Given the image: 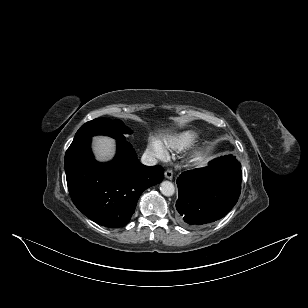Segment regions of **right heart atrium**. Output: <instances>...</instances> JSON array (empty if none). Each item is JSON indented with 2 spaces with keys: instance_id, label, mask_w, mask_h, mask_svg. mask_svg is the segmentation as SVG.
Here are the masks:
<instances>
[{
  "instance_id": "d8ad5b80",
  "label": "right heart atrium",
  "mask_w": 308,
  "mask_h": 308,
  "mask_svg": "<svg viewBox=\"0 0 308 308\" xmlns=\"http://www.w3.org/2000/svg\"><path fill=\"white\" fill-rule=\"evenodd\" d=\"M150 151L158 158H164L165 151L158 142L153 141L149 144Z\"/></svg>"
}]
</instances>
